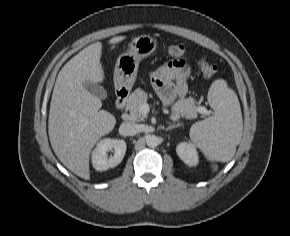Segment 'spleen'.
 <instances>
[{
  "mask_svg": "<svg viewBox=\"0 0 290 236\" xmlns=\"http://www.w3.org/2000/svg\"><path fill=\"white\" fill-rule=\"evenodd\" d=\"M208 101L214 115L193 124L189 132L190 139L208 160L230 161L243 131L238 97L224 80L218 79L208 91ZM213 169L216 170L217 166H213Z\"/></svg>",
  "mask_w": 290,
  "mask_h": 236,
  "instance_id": "obj_1",
  "label": "spleen"
}]
</instances>
